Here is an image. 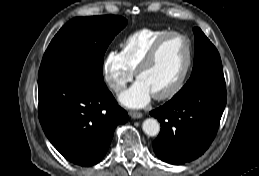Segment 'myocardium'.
<instances>
[{"label":"myocardium","instance_id":"myocardium-1","mask_svg":"<svg viewBox=\"0 0 259 176\" xmlns=\"http://www.w3.org/2000/svg\"><path fill=\"white\" fill-rule=\"evenodd\" d=\"M172 36H179L183 39H185L187 43V56H186V62L184 65V68L179 75V77L175 80V82L164 92L155 94L153 97L156 100H165L173 97L175 94L178 93V91L182 88L189 71L192 66V60H193V44L191 39L186 35L178 31H169L163 36H161L151 47L149 52L146 54L142 62L139 64L138 68L135 71L136 78L139 79L140 74L145 71L156 59L161 47L165 43V41L172 37Z\"/></svg>","mask_w":259,"mask_h":176}]
</instances>
